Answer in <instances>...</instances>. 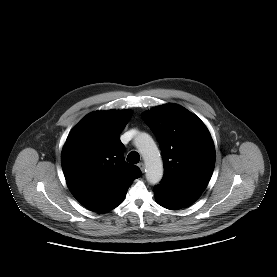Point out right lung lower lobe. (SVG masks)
I'll return each instance as SVG.
<instances>
[{
  "instance_id": "obj_1",
  "label": "right lung lower lobe",
  "mask_w": 277,
  "mask_h": 277,
  "mask_svg": "<svg viewBox=\"0 0 277 277\" xmlns=\"http://www.w3.org/2000/svg\"><path fill=\"white\" fill-rule=\"evenodd\" d=\"M126 193H127V192H126ZM126 193H125L116 203H114L107 211H105V212H108V211H110V210L116 208L118 205H120L121 202L124 200V197H125ZM105 212H104V213H105Z\"/></svg>"
}]
</instances>
